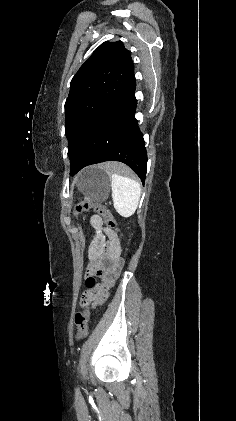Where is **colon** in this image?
Masks as SVG:
<instances>
[{
	"mask_svg": "<svg viewBox=\"0 0 236 421\" xmlns=\"http://www.w3.org/2000/svg\"><path fill=\"white\" fill-rule=\"evenodd\" d=\"M93 210L99 215H101L105 221V225L109 229H117L116 221L110 211L102 204L94 202H82L75 207L74 213L76 215L81 214L85 211ZM100 274L98 264L95 261H92L88 267L86 286L89 290H93L97 285V278ZM83 309L76 313L75 315V325L77 327V338L81 339L87 336L88 334V324L90 318V307L88 296L85 295L82 300Z\"/></svg>",
	"mask_w": 236,
	"mask_h": 421,
	"instance_id": "colon-1",
	"label": "colon"
}]
</instances>
